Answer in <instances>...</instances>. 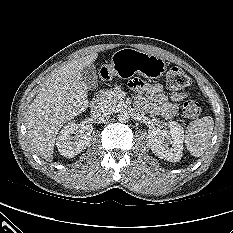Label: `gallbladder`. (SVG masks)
<instances>
[{
  "instance_id": "bac80fb5",
  "label": "gallbladder",
  "mask_w": 233,
  "mask_h": 233,
  "mask_svg": "<svg viewBox=\"0 0 233 233\" xmlns=\"http://www.w3.org/2000/svg\"><path fill=\"white\" fill-rule=\"evenodd\" d=\"M81 78L88 89L94 90L97 88L98 77L96 74V66L94 63H91L83 68L81 72Z\"/></svg>"
}]
</instances>
